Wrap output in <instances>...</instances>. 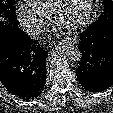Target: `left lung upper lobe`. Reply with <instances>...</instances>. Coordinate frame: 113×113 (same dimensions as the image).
<instances>
[{"instance_id": "1", "label": "left lung upper lobe", "mask_w": 113, "mask_h": 113, "mask_svg": "<svg viewBox=\"0 0 113 113\" xmlns=\"http://www.w3.org/2000/svg\"><path fill=\"white\" fill-rule=\"evenodd\" d=\"M106 21H113V0H104V11L91 26H97Z\"/></svg>"}]
</instances>
